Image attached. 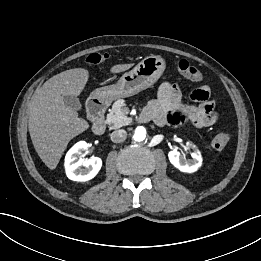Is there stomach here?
Masks as SVG:
<instances>
[{
    "mask_svg": "<svg viewBox=\"0 0 261 261\" xmlns=\"http://www.w3.org/2000/svg\"><path fill=\"white\" fill-rule=\"evenodd\" d=\"M164 70L165 61L161 56H148L132 70L124 73L116 84L94 90L91 97L101 102H111L133 96L151 87L161 77Z\"/></svg>",
    "mask_w": 261,
    "mask_h": 261,
    "instance_id": "stomach-1",
    "label": "stomach"
}]
</instances>
